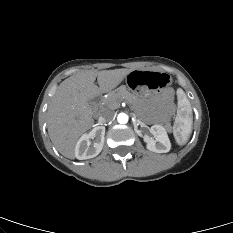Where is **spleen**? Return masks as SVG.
I'll list each match as a JSON object with an SVG mask.
<instances>
[{
    "label": "spleen",
    "mask_w": 233,
    "mask_h": 233,
    "mask_svg": "<svg viewBox=\"0 0 233 233\" xmlns=\"http://www.w3.org/2000/svg\"><path fill=\"white\" fill-rule=\"evenodd\" d=\"M178 110L175 119L173 134L179 145L187 143L192 131L193 114L188 98L182 89L177 90Z\"/></svg>",
    "instance_id": "spleen-1"
}]
</instances>
